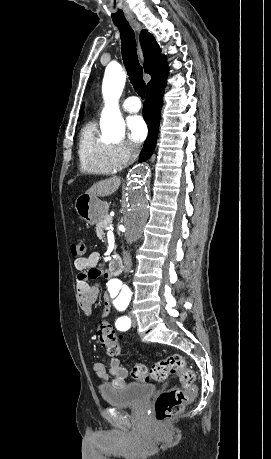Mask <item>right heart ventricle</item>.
Listing matches in <instances>:
<instances>
[{
    "label": "right heart ventricle",
    "mask_w": 271,
    "mask_h": 459,
    "mask_svg": "<svg viewBox=\"0 0 271 459\" xmlns=\"http://www.w3.org/2000/svg\"><path fill=\"white\" fill-rule=\"evenodd\" d=\"M78 155L80 169L83 173L111 174L121 167L114 157L113 143L98 136L94 122L87 123L81 131Z\"/></svg>",
    "instance_id": "right-heart-ventricle-1"
}]
</instances>
